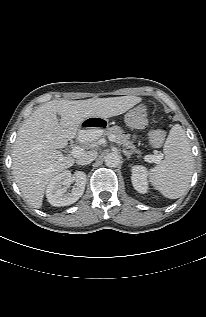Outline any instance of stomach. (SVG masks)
<instances>
[{
	"mask_svg": "<svg viewBox=\"0 0 206 317\" xmlns=\"http://www.w3.org/2000/svg\"><path fill=\"white\" fill-rule=\"evenodd\" d=\"M118 123L116 116L109 114L104 117L92 116L81 120L77 133V142L81 146H90L101 138L105 132H110Z\"/></svg>",
	"mask_w": 206,
	"mask_h": 317,
	"instance_id": "1",
	"label": "stomach"
}]
</instances>
